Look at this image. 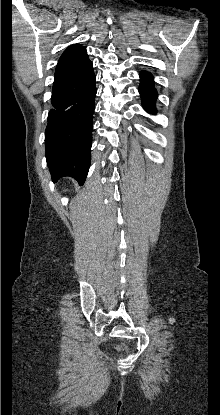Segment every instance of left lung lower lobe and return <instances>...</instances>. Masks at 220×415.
<instances>
[{"label": "left lung lower lobe", "instance_id": "1", "mask_svg": "<svg viewBox=\"0 0 220 415\" xmlns=\"http://www.w3.org/2000/svg\"><path fill=\"white\" fill-rule=\"evenodd\" d=\"M141 84L139 86V92L142 98V104L146 111L154 113L155 101L157 97V91L154 88L153 76L148 72L140 73Z\"/></svg>", "mask_w": 220, "mask_h": 415}]
</instances>
